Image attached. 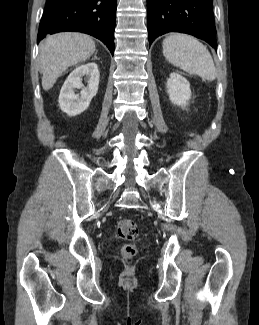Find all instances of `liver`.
Instances as JSON below:
<instances>
[{"label": "liver", "mask_w": 259, "mask_h": 325, "mask_svg": "<svg viewBox=\"0 0 259 325\" xmlns=\"http://www.w3.org/2000/svg\"><path fill=\"white\" fill-rule=\"evenodd\" d=\"M96 46L91 37L64 32L48 36L40 45L42 87L48 91L68 67L89 59Z\"/></svg>", "instance_id": "6515ba94"}]
</instances>
